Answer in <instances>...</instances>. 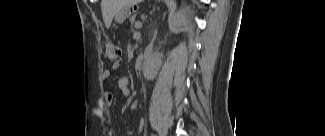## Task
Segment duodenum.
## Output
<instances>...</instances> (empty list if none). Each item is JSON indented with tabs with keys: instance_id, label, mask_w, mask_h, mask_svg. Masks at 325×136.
<instances>
[{
	"instance_id": "1",
	"label": "duodenum",
	"mask_w": 325,
	"mask_h": 136,
	"mask_svg": "<svg viewBox=\"0 0 325 136\" xmlns=\"http://www.w3.org/2000/svg\"><path fill=\"white\" fill-rule=\"evenodd\" d=\"M144 54L140 53L135 61L134 71L137 75L143 73Z\"/></svg>"
}]
</instances>
